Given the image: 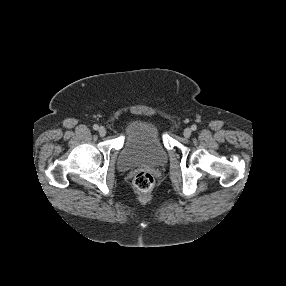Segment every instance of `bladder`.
Instances as JSON below:
<instances>
[{"instance_id":"31cf9c89","label":"bladder","mask_w":286,"mask_h":286,"mask_svg":"<svg viewBox=\"0 0 286 286\" xmlns=\"http://www.w3.org/2000/svg\"><path fill=\"white\" fill-rule=\"evenodd\" d=\"M167 159L158 128L148 121L134 122L126 137L119 158L122 169L138 166H160Z\"/></svg>"}]
</instances>
